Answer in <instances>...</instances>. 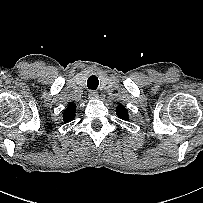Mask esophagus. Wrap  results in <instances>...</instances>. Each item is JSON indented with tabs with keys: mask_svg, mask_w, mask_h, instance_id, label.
Wrapping results in <instances>:
<instances>
[{
	"mask_svg": "<svg viewBox=\"0 0 203 203\" xmlns=\"http://www.w3.org/2000/svg\"><path fill=\"white\" fill-rule=\"evenodd\" d=\"M88 95H89L90 99H96V98H98V92L95 91V90H90Z\"/></svg>",
	"mask_w": 203,
	"mask_h": 203,
	"instance_id": "1",
	"label": "esophagus"
}]
</instances>
